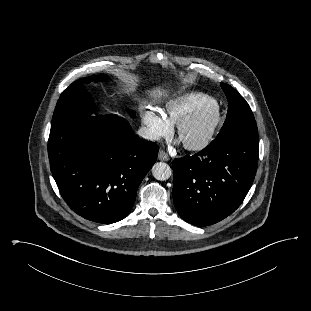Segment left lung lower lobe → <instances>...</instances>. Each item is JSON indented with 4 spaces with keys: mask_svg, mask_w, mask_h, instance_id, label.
Wrapping results in <instances>:
<instances>
[{
    "mask_svg": "<svg viewBox=\"0 0 311 311\" xmlns=\"http://www.w3.org/2000/svg\"><path fill=\"white\" fill-rule=\"evenodd\" d=\"M257 136L212 141L173 163V200L180 217L195 226L215 224L243 202L258 165Z\"/></svg>",
    "mask_w": 311,
    "mask_h": 311,
    "instance_id": "0a47b994",
    "label": "left lung lower lobe"
}]
</instances>
